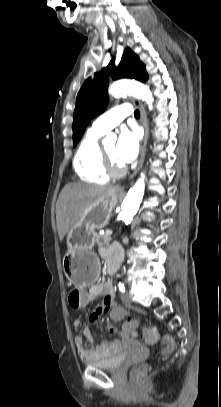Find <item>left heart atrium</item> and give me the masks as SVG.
Instances as JSON below:
<instances>
[{
	"label": "left heart atrium",
	"mask_w": 221,
	"mask_h": 407,
	"mask_svg": "<svg viewBox=\"0 0 221 407\" xmlns=\"http://www.w3.org/2000/svg\"><path fill=\"white\" fill-rule=\"evenodd\" d=\"M139 151V135L136 131L123 129L116 145V158L122 165L135 160Z\"/></svg>",
	"instance_id": "obj_1"
}]
</instances>
